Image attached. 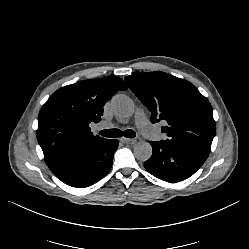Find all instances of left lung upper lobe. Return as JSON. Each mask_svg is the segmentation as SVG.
<instances>
[{
  "label": "left lung upper lobe",
  "instance_id": "5c2ea615",
  "mask_svg": "<svg viewBox=\"0 0 249 249\" xmlns=\"http://www.w3.org/2000/svg\"><path fill=\"white\" fill-rule=\"evenodd\" d=\"M125 82L151 112V122L162 127L164 143L209 154L216 125L212 107L190 82L155 71L125 77Z\"/></svg>",
  "mask_w": 249,
  "mask_h": 249
}]
</instances>
